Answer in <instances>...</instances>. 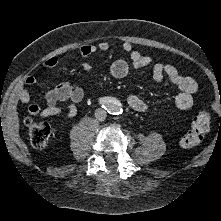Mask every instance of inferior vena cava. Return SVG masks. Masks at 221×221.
Listing matches in <instances>:
<instances>
[{
  "label": "inferior vena cava",
  "mask_w": 221,
  "mask_h": 221,
  "mask_svg": "<svg viewBox=\"0 0 221 221\" xmlns=\"http://www.w3.org/2000/svg\"><path fill=\"white\" fill-rule=\"evenodd\" d=\"M106 116H107V113L103 109L99 108L95 111V117L99 121H104L106 119Z\"/></svg>",
  "instance_id": "inferior-vena-cava-1"
}]
</instances>
